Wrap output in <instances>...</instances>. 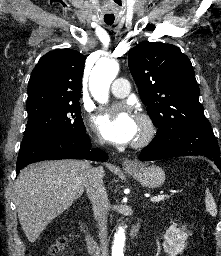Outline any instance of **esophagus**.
Wrapping results in <instances>:
<instances>
[{
  "mask_svg": "<svg viewBox=\"0 0 221 256\" xmlns=\"http://www.w3.org/2000/svg\"><path fill=\"white\" fill-rule=\"evenodd\" d=\"M136 166V163L130 159H125L123 161V167H126V168H132V167H135Z\"/></svg>",
  "mask_w": 221,
  "mask_h": 256,
  "instance_id": "1",
  "label": "esophagus"
}]
</instances>
